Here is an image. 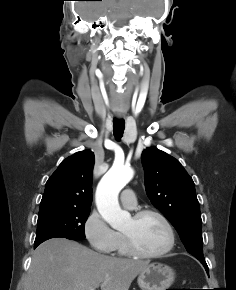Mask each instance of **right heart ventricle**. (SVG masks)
<instances>
[{"label":"right heart ventricle","instance_id":"obj_1","mask_svg":"<svg viewBox=\"0 0 236 290\" xmlns=\"http://www.w3.org/2000/svg\"><path fill=\"white\" fill-rule=\"evenodd\" d=\"M114 251H117V253L119 255H122V256L128 254L123 237L121 234H118V241H117V244H116Z\"/></svg>","mask_w":236,"mask_h":290}]
</instances>
